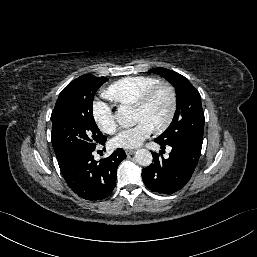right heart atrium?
<instances>
[{
    "label": "right heart atrium",
    "mask_w": 257,
    "mask_h": 257,
    "mask_svg": "<svg viewBox=\"0 0 257 257\" xmlns=\"http://www.w3.org/2000/svg\"><path fill=\"white\" fill-rule=\"evenodd\" d=\"M96 107V106H95ZM93 111V118L97 125V127L106 134H112L116 130V122L113 114L108 113L105 118H101L100 115L95 111Z\"/></svg>",
    "instance_id": "right-heart-atrium-1"
}]
</instances>
